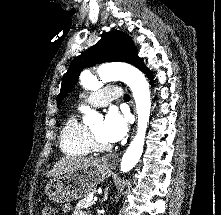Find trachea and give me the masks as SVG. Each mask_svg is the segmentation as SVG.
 Segmentation results:
<instances>
[{
    "instance_id": "3493384b",
    "label": "trachea",
    "mask_w": 221,
    "mask_h": 215,
    "mask_svg": "<svg viewBox=\"0 0 221 215\" xmlns=\"http://www.w3.org/2000/svg\"><path fill=\"white\" fill-rule=\"evenodd\" d=\"M124 100H125V101H129V100H130V96L127 95V94H125V95H124Z\"/></svg>"
}]
</instances>
